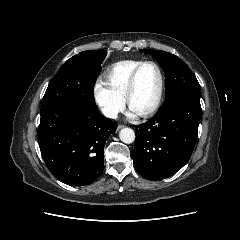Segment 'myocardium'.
<instances>
[{"mask_svg":"<svg viewBox=\"0 0 240 240\" xmlns=\"http://www.w3.org/2000/svg\"><path fill=\"white\" fill-rule=\"evenodd\" d=\"M146 65H152L156 68V70L159 74L160 83H159V89H158V93H157L154 103L147 111L140 114L142 117H149L158 110V108L161 104L162 98H163L164 88H165V76H164L163 70L160 67V65L157 62L151 61V60L142 61L133 70V72L130 75L129 81H128L127 90H126V94H125V99H126V103L128 104V106H130V99L136 88L138 74H139L140 70Z\"/></svg>","mask_w":240,"mask_h":240,"instance_id":"1","label":"myocardium"}]
</instances>
